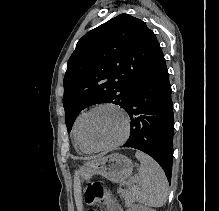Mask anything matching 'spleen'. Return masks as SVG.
Listing matches in <instances>:
<instances>
[{"mask_svg":"<svg viewBox=\"0 0 219 211\" xmlns=\"http://www.w3.org/2000/svg\"><path fill=\"white\" fill-rule=\"evenodd\" d=\"M141 167L137 177L136 185L132 187L133 201H139L150 207H161L164 205L168 193L167 177L159 163L143 151H136Z\"/></svg>","mask_w":219,"mask_h":211,"instance_id":"obj_1","label":"spleen"}]
</instances>
